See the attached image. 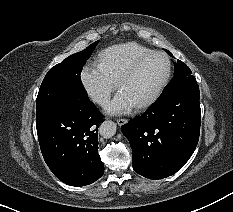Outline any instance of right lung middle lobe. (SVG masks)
Instances as JSON below:
<instances>
[{
    "label": "right lung middle lobe",
    "mask_w": 233,
    "mask_h": 212,
    "mask_svg": "<svg viewBox=\"0 0 233 212\" xmlns=\"http://www.w3.org/2000/svg\"><path fill=\"white\" fill-rule=\"evenodd\" d=\"M98 41L52 67L46 74L36 101V122L72 100H85L88 95L80 74Z\"/></svg>",
    "instance_id": "obj_1"
}]
</instances>
